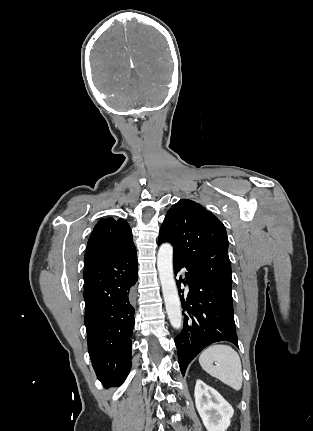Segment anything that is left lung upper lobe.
Instances as JSON below:
<instances>
[{
	"instance_id": "1",
	"label": "left lung upper lobe",
	"mask_w": 313,
	"mask_h": 431,
	"mask_svg": "<svg viewBox=\"0 0 313 431\" xmlns=\"http://www.w3.org/2000/svg\"><path fill=\"white\" fill-rule=\"evenodd\" d=\"M159 244L173 245V258L194 274L231 288V263L225 226L202 205L181 199L167 212Z\"/></svg>"
}]
</instances>
